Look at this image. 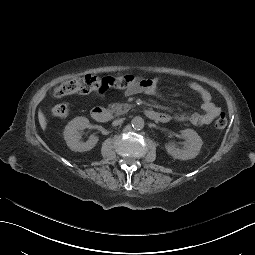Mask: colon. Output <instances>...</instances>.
<instances>
[{"mask_svg": "<svg viewBox=\"0 0 255 255\" xmlns=\"http://www.w3.org/2000/svg\"><path fill=\"white\" fill-rule=\"evenodd\" d=\"M136 78L132 75L104 76L86 75L85 77L68 80L57 86L53 95L61 98L69 94L80 93L86 94L95 91H104L109 88L127 89L132 86ZM52 114L59 118L69 115L70 105L68 103H59L52 107ZM228 120L224 113H221L214 122V126L218 130H222L227 126Z\"/></svg>", "mask_w": 255, "mask_h": 255, "instance_id": "1", "label": "colon"}]
</instances>
